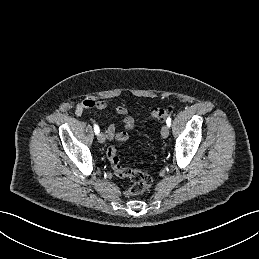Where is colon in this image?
Instances as JSON below:
<instances>
[{
  "mask_svg": "<svg viewBox=\"0 0 259 259\" xmlns=\"http://www.w3.org/2000/svg\"><path fill=\"white\" fill-rule=\"evenodd\" d=\"M170 114V109L165 107L155 108L150 115L154 121H163ZM107 159L114 173L119 177L129 178L132 182L131 187L126 191L127 195H139L147 191L152 183L151 177L139 170L123 167L120 163L118 151L114 146L108 147L106 151Z\"/></svg>",
  "mask_w": 259,
  "mask_h": 259,
  "instance_id": "5ec220e1",
  "label": "colon"
}]
</instances>
